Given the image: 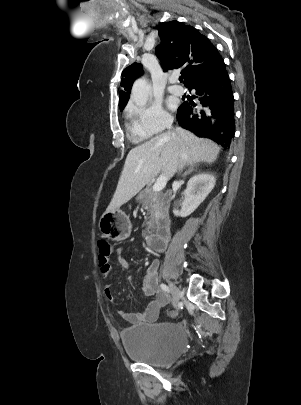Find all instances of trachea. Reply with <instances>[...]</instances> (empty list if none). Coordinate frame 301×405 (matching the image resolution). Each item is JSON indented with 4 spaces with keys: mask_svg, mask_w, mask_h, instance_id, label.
Returning a JSON list of instances; mask_svg holds the SVG:
<instances>
[{
    "mask_svg": "<svg viewBox=\"0 0 301 405\" xmlns=\"http://www.w3.org/2000/svg\"><path fill=\"white\" fill-rule=\"evenodd\" d=\"M182 80H183L182 77H180V78H179V81L182 82Z\"/></svg>",
    "mask_w": 301,
    "mask_h": 405,
    "instance_id": "obj_1",
    "label": "trachea"
}]
</instances>
